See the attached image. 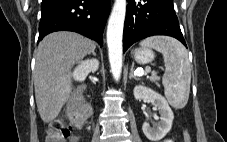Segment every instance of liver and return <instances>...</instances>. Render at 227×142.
I'll return each instance as SVG.
<instances>
[{"instance_id":"1","label":"liver","mask_w":227,"mask_h":142,"mask_svg":"<svg viewBox=\"0 0 227 142\" xmlns=\"http://www.w3.org/2000/svg\"><path fill=\"white\" fill-rule=\"evenodd\" d=\"M95 47L92 40L74 32H54L39 43L32 77L43 122L54 120L70 100L71 69Z\"/></svg>"}]
</instances>
